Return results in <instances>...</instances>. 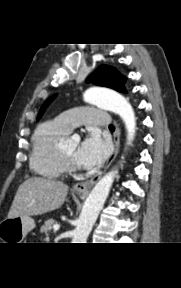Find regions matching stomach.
Masks as SVG:
<instances>
[{"instance_id":"stomach-1","label":"stomach","mask_w":181,"mask_h":288,"mask_svg":"<svg viewBox=\"0 0 181 288\" xmlns=\"http://www.w3.org/2000/svg\"><path fill=\"white\" fill-rule=\"evenodd\" d=\"M34 227L35 222L29 216L6 218L0 223V239L4 243H21Z\"/></svg>"}]
</instances>
